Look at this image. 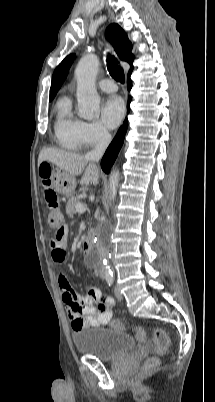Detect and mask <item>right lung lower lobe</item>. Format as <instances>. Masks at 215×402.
<instances>
[{
    "instance_id": "obj_1",
    "label": "right lung lower lobe",
    "mask_w": 215,
    "mask_h": 402,
    "mask_svg": "<svg viewBox=\"0 0 215 402\" xmlns=\"http://www.w3.org/2000/svg\"><path fill=\"white\" fill-rule=\"evenodd\" d=\"M131 87H132V82L129 79L128 85H127L128 90H130ZM130 102H131V97H129V100H128V110H129ZM127 128H128V121L126 119L125 122L123 123V125L118 130L115 138L113 139V141L107 148V150L102 158L101 167L105 173H109L111 166L115 162V159L119 153V150L121 149L122 144L124 142V136L127 131Z\"/></svg>"
}]
</instances>
